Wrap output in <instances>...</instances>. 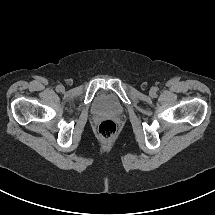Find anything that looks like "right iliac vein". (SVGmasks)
<instances>
[{
	"instance_id": "obj_1",
	"label": "right iliac vein",
	"mask_w": 215,
	"mask_h": 215,
	"mask_svg": "<svg viewBox=\"0 0 215 215\" xmlns=\"http://www.w3.org/2000/svg\"><path fill=\"white\" fill-rule=\"evenodd\" d=\"M64 90V87L63 86H61V91H63Z\"/></svg>"
}]
</instances>
